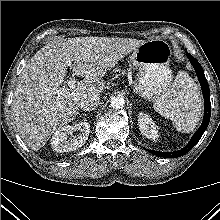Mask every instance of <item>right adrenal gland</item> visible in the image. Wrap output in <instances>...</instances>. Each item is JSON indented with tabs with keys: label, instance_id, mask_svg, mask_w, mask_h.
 <instances>
[{
	"label": "right adrenal gland",
	"instance_id": "1",
	"mask_svg": "<svg viewBox=\"0 0 220 220\" xmlns=\"http://www.w3.org/2000/svg\"><path fill=\"white\" fill-rule=\"evenodd\" d=\"M87 115H88V114H83V116H85V117H86Z\"/></svg>",
	"mask_w": 220,
	"mask_h": 220
}]
</instances>
